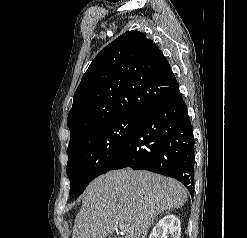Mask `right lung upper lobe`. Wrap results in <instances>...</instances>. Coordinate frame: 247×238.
<instances>
[{
    "instance_id": "right-lung-upper-lobe-1",
    "label": "right lung upper lobe",
    "mask_w": 247,
    "mask_h": 238,
    "mask_svg": "<svg viewBox=\"0 0 247 238\" xmlns=\"http://www.w3.org/2000/svg\"><path fill=\"white\" fill-rule=\"evenodd\" d=\"M177 89L155 43L139 31L126 32L101 50L83 75L68 115L70 142L118 117L141 115Z\"/></svg>"
}]
</instances>
